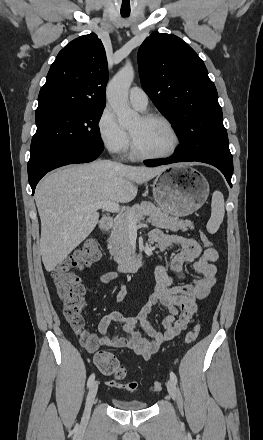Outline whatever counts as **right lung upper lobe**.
Here are the masks:
<instances>
[{"label":"right lung upper lobe","mask_w":263,"mask_h":440,"mask_svg":"<svg viewBox=\"0 0 263 440\" xmlns=\"http://www.w3.org/2000/svg\"><path fill=\"white\" fill-rule=\"evenodd\" d=\"M108 66L104 46L91 33L71 41L57 55L41 88L38 108L104 107Z\"/></svg>","instance_id":"right-lung-upper-lobe-1"}]
</instances>
